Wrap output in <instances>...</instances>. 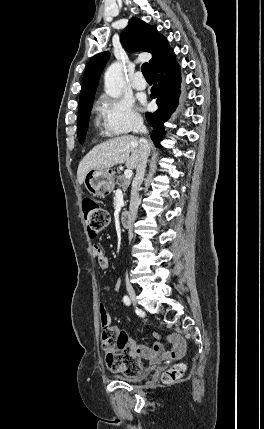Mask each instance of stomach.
Instances as JSON below:
<instances>
[{
    "label": "stomach",
    "mask_w": 264,
    "mask_h": 429,
    "mask_svg": "<svg viewBox=\"0 0 264 429\" xmlns=\"http://www.w3.org/2000/svg\"><path fill=\"white\" fill-rule=\"evenodd\" d=\"M86 189L95 197H105L115 187L114 172L111 169H93L87 172L84 180Z\"/></svg>",
    "instance_id": "1"
}]
</instances>
